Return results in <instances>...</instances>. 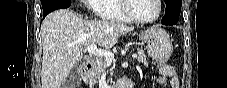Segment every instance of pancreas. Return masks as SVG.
I'll return each mask as SVG.
<instances>
[{"instance_id": "obj_1", "label": "pancreas", "mask_w": 227, "mask_h": 88, "mask_svg": "<svg viewBox=\"0 0 227 88\" xmlns=\"http://www.w3.org/2000/svg\"><path fill=\"white\" fill-rule=\"evenodd\" d=\"M136 59L144 66L148 65L146 55L142 49H138V55ZM107 66L108 63L105 61V59H100L98 65L93 68L89 75L86 77V83L95 84L97 80L100 79L101 75L105 72Z\"/></svg>"}]
</instances>
